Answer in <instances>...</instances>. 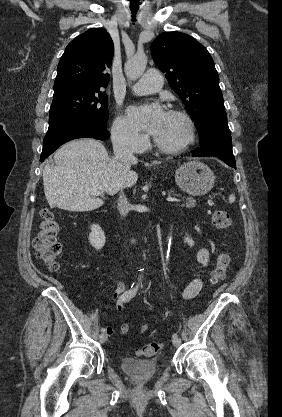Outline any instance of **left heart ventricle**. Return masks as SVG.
Masks as SVG:
<instances>
[{
    "label": "left heart ventricle",
    "instance_id": "obj_1",
    "mask_svg": "<svg viewBox=\"0 0 282 417\" xmlns=\"http://www.w3.org/2000/svg\"><path fill=\"white\" fill-rule=\"evenodd\" d=\"M155 136L167 144L177 143L185 136L184 124L179 118L164 114L161 127Z\"/></svg>",
    "mask_w": 282,
    "mask_h": 417
}]
</instances>
